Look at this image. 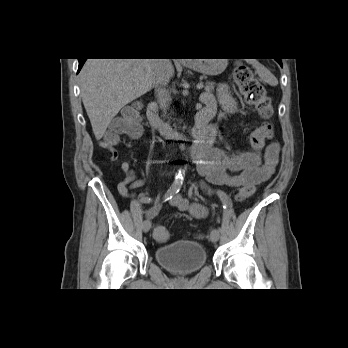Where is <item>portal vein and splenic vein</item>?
<instances>
[{"mask_svg": "<svg viewBox=\"0 0 348 348\" xmlns=\"http://www.w3.org/2000/svg\"><path fill=\"white\" fill-rule=\"evenodd\" d=\"M204 87V84L203 83H198L197 84V89H202Z\"/></svg>", "mask_w": 348, "mask_h": 348, "instance_id": "portal-vein-and-splenic-vein-1", "label": "portal vein and splenic vein"}]
</instances>
